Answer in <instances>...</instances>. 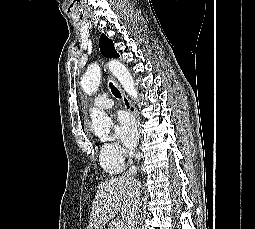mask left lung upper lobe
Masks as SVG:
<instances>
[{"instance_id": "5c2ea615", "label": "left lung upper lobe", "mask_w": 255, "mask_h": 229, "mask_svg": "<svg viewBox=\"0 0 255 229\" xmlns=\"http://www.w3.org/2000/svg\"><path fill=\"white\" fill-rule=\"evenodd\" d=\"M100 51L103 56L108 58H117L119 54L116 52L113 42L111 39L107 38L104 34L100 36L99 40Z\"/></svg>"}]
</instances>
